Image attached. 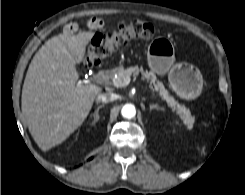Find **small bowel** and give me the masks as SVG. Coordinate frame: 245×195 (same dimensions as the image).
<instances>
[{"label": "small bowel", "instance_id": "obj_1", "mask_svg": "<svg viewBox=\"0 0 245 195\" xmlns=\"http://www.w3.org/2000/svg\"><path fill=\"white\" fill-rule=\"evenodd\" d=\"M87 25L90 29L95 30V29L102 28L104 26V22L99 18H91L88 20ZM77 29H78L77 24L74 22H70L64 26L63 30H64L65 34H72V33L76 32Z\"/></svg>", "mask_w": 245, "mask_h": 195}]
</instances>
